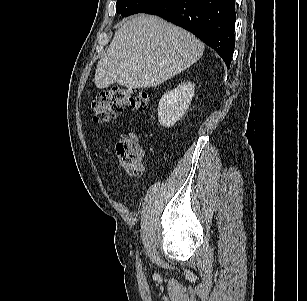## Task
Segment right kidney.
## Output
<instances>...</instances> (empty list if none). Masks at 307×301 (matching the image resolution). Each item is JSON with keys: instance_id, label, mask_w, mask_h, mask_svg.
Masks as SVG:
<instances>
[{"instance_id": "ca27d5eb", "label": "right kidney", "mask_w": 307, "mask_h": 301, "mask_svg": "<svg viewBox=\"0 0 307 301\" xmlns=\"http://www.w3.org/2000/svg\"><path fill=\"white\" fill-rule=\"evenodd\" d=\"M195 86L183 82L172 91L164 93L159 101L158 121L164 127L173 126L186 112L194 96Z\"/></svg>"}]
</instances>
